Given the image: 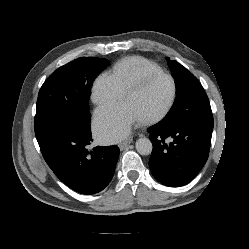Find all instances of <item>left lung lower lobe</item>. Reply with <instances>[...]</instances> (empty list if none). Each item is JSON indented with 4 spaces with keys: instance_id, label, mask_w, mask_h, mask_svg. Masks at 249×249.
Returning <instances> with one entry per match:
<instances>
[{
    "instance_id": "left-lung-lower-lobe-1",
    "label": "left lung lower lobe",
    "mask_w": 249,
    "mask_h": 249,
    "mask_svg": "<svg viewBox=\"0 0 249 249\" xmlns=\"http://www.w3.org/2000/svg\"><path fill=\"white\" fill-rule=\"evenodd\" d=\"M153 144L149 167L162 184L179 187L189 183L207 161L213 120L186 126L158 123L147 130ZM172 138L171 143L165 140Z\"/></svg>"
}]
</instances>
